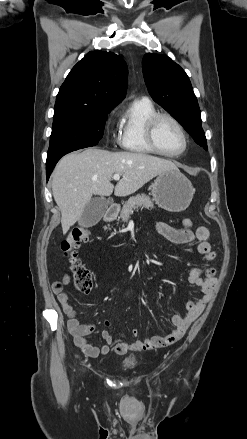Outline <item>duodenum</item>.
<instances>
[{
  "mask_svg": "<svg viewBox=\"0 0 247 439\" xmlns=\"http://www.w3.org/2000/svg\"><path fill=\"white\" fill-rule=\"evenodd\" d=\"M119 212V206L116 203H112L109 205L107 211L104 214L105 221L113 220Z\"/></svg>",
  "mask_w": 247,
  "mask_h": 439,
  "instance_id": "1",
  "label": "duodenum"
}]
</instances>
